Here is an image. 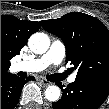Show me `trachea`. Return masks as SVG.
<instances>
[{
	"mask_svg": "<svg viewBox=\"0 0 109 109\" xmlns=\"http://www.w3.org/2000/svg\"><path fill=\"white\" fill-rule=\"evenodd\" d=\"M19 76H21V77H26L27 74H26V72H20V73H19Z\"/></svg>",
	"mask_w": 109,
	"mask_h": 109,
	"instance_id": "3493384b",
	"label": "trachea"
}]
</instances>
